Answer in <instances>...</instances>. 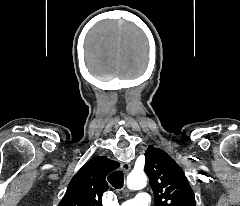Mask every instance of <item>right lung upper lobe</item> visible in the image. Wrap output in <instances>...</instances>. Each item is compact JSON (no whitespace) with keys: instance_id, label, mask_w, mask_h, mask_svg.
<instances>
[{"instance_id":"obj_1","label":"right lung upper lobe","mask_w":240,"mask_h":206,"mask_svg":"<svg viewBox=\"0 0 240 206\" xmlns=\"http://www.w3.org/2000/svg\"><path fill=\"white\" fill-rule=\"evenodd\" d=\"M118 167L117 161L103 156L89 160L72 178L58 206H102L106 175Z\"/></svg>"}]
</instances>
